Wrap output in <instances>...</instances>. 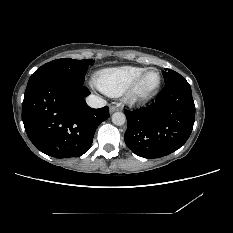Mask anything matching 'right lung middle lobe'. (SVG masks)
Segmentation results:
<instances>
[{"mask_svg":"<svg viewBox=\"0 0 233 233\" xmlns=\"http://www.w3.org/2000/svg\"><path fill=\"white\" fill-rule=\"evenodd\" d=\"M92 59L75 60L70 58L56 59L39 67L30 77L28 84L39 79L60 77L83 84L88 66Z\"/></svg>","mask_w":233,"mask_h":233,"instance_id":"right-lung-middle-lobe-1","label":"right lung middle lobe"}]
</instances>
